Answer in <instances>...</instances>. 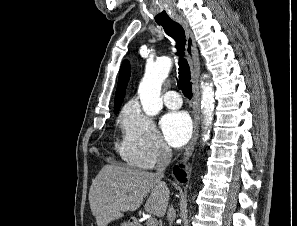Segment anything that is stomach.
Returning <instances> with one entry per match:
<instances>
[{"instance_id":"obj_1","label":"stomach","mask_w":297,"mask_h":226,"mask_svg":"<svg viewBox=\"0 0 297 226\" xmlns=\"http://www.w3.org/2000/svg\"><path fill=\"white\" fill-rule=\"evenodd\" d=\"M121 226H133L130 222H124Z\"/></svg>"}]
</instances>
